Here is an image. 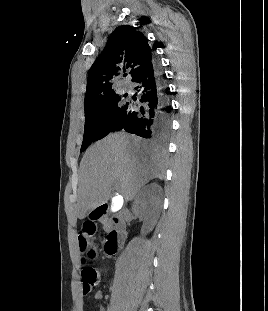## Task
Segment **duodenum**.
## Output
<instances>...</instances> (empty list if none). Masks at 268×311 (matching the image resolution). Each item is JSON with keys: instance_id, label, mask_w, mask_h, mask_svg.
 I'll use <instances>...</instances> for the list:
<instances>
[{"instance_id": "obj_1", "label": "duodenum", "mask_w": 268, "mask_h": 311, "mask_svg": "<svg viewBox=\"0 0 268 311\" xmlns=\"http://www.w3.org/2000/svg\"><path fill=\"white\" fill-rule=\"evenodd\" d=\"M108 205L103 204L98 206L92 212L94 220H102L106 216ZM113 228L109 231L105 241V251L109 255L116 254L120 249L124 238V222L120 217L113 218Z\"/></svg>"}]
</instances>
